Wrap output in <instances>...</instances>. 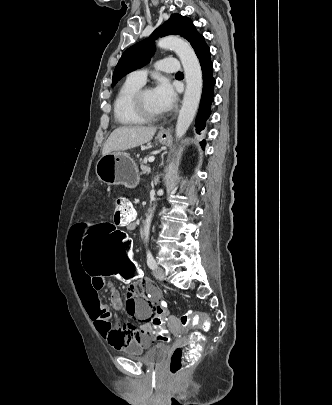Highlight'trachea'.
Listing matches in <instances>:
<instances>
[{
	"mask_svg": "<svg viewBox=\"0 0 332 405\" xmlns=\"http://www.w3.org/2000/svg\"><path fill=\"white\" fill-rule=\"evenodd\" d=\"M177 75H182V72H177Z\"/></svg>",
	"mask_w": 332,
	"mask_h": 405,
	"instance_id": "obj_1",
	"label": "trachea"
}]
</instances>
